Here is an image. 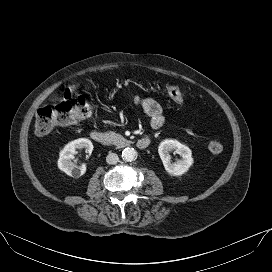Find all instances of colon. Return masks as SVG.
Segmentation results:
<instances>
[{
	"label": "colon",
	"mask_w": 272,
	"mask_h": 272,
	"mask_svg": "<svg viewBox=\"0 0 272 272\" xmlns=\"http://www.w3.org/2000/svg\"><path fill=\"white\" fill-rule=\"evenodd\" d=\"M168 95L176 102H183L185 95L176 86L167 85ZM92 114L90 103L82 97H76L70 89L63 93L62 101L52 107L44 106L38 109L35 116L34 131L37 136H45L55 128L74 125L89 118ZM209 150L218 154L223 151V143L213 139L209 142Z\"/></svg>",
	"instance_id": "1"
}]
</instances>
